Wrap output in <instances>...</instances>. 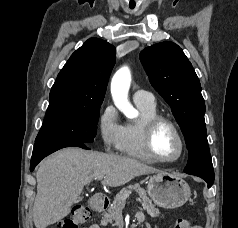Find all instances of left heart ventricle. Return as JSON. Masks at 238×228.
<instances>
[{
  "instance_id": "1",
  "label": "left heart ventricle",
  "mask_w": 238,
  "mask_h": 228,
  "mask_svg": "<svg viewBox=\"0 0 238 228\" xmlns=\"http://www.w3.org/2000/svg\"><path fill=\"white\" fill-rule=\"evenodd\" d=\"M154 149L162 158L171 159L178 155V140L168 126L163 125L158 129L154 137Z\"/></svg>"
}]
</instances>
